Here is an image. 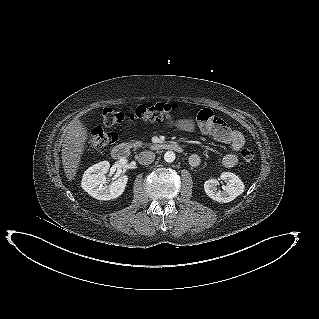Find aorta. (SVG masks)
Instances as JSON below:
<instances>
[{
    "label": "aorta",
    "mask_w": 319,
    "mask_h": 319,
    "mask_svg": "<svg viewBox=\"0 0 319 319\" xmlns=\"http://www.w3.org/2000/svg\"><path fill=\"white\" fill-rule=\"evenodd\" d=\"M176 156H175V153L173 151H167L165 154H164V160L168 163H172L174 162Z\"/></svg>",
    "instance_id": "obj_1"
}]
</instances>
